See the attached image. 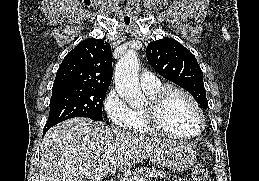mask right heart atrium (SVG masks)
I'll return each mask as SVG.
<instances>
[{
  "label": "right heart atrium",
  "instance_id": "obj_1",
  "mask_svg": "<svg viewBox=\"0 0 259 181\" xmlns=\"http://www.w3.org/2000/svg\"><path fill=\"white\" fill-rule=\"evenodd\" d=\"M103 109L115 128H128L132 110L115 89H111L103 100Z\"/></svg>",
  "mask_w": 259,
  "mask_h": 181
}]
</instances>
